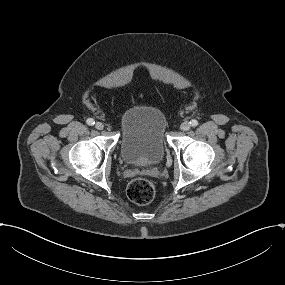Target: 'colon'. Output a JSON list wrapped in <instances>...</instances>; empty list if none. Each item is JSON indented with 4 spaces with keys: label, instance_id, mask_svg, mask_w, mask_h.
I'll use <instances>...</instances> for the list:
<instances>
[{
    "label": "colon",
    "instance_id": "5ec220e1",
    "mask_svg": "<svg viewBox=\"0 0 285 285\" xmlns=\"http://www.w3.org/2000/svg\"><path fill=\"white\" fill-rule=\"evenodd\" d=\"M127 195L132 202L145 205L153 200L155 188L149 180L138 178L128 184Z\"/></svg>",
    "mask_w": 285,
    "mask_h": 285
}]
</instances>
